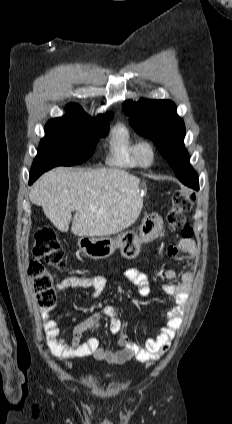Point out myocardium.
I'll use <instances>...</instances> for the list:
<instances>
[{"mask_svg": "<svg viewBox=\"0 0 232 424\" xmlns=\"http://www.w3.org/2000/svg\"><path fill=\"white\" fill-rule=\"evenodd\" d=\"M137 157L141 166L148 167L153 164L155 159V149L152 143L143 141L137 149Z\"/></svg>", "mask_w": 232, "mask_h": 424, "instance_id": "myocardium-1", "label": "myocardium"}]
</instances>
